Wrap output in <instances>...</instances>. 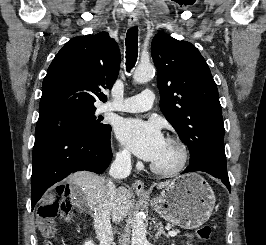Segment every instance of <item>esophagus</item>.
Returning <instances> with one entry per match:
<instances>
[{"label": "esophagus", "mask_w": 266, "mask_h": 245, "mask_svg": "<svg viewBox=\"0 0 266 245\" xmlns=\"http://www.w3.org/2000/svg\"><path fill=\"white\" fill-rule=\"evenodd\" d=\"M138 23V17L136 15H130L128 19L129 27H134ZM133 189L139 195H146L145 185L141 180H135L132 184Z\"/></svg>", "instance_id": "34e87169"}]
</instances>
